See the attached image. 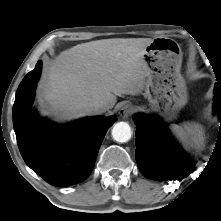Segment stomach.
I'll list each match as a JSON object with an SVG mask.
<instances>
[{"instance_id": "0dacf381", "label": "stomach", "mask_w": 221, "mask_h": 221, "mask_svg": "<svg viewBox=\"0 0 221 221\" xmlns=\"http://www.w3.org/2000/svg\"><path fill=\"white\" fill-rule=\"evenodd\" d=\"M142 60L147 68L144 95L150 108L167 120L176 118L187 103L180 45L172 38H155L145 48Z\"/></svg>"}]
</instances>
